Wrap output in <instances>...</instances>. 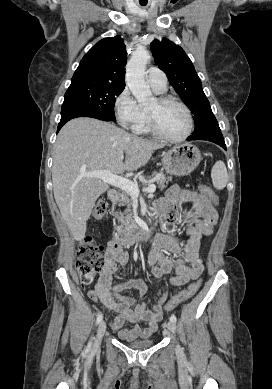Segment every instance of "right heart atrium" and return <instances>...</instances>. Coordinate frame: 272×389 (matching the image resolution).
Segmentation results:
<instances>
[{"label":"right heart atrium","instance_id":"d8ad5b80","mask_svg":"<svg viewBox=\"0 0 272 389\" xmlns=\"http://www.w3.org/2000/svg\"><path fill=\"white\" fill-rule=\"evenodd\" d=\"M114 111L119 124L134 129L143 119L142 108L137 104L128 88H124L116 97Z\"/></svg>","mask_w":272,"mask_h":389}]
</instances>
